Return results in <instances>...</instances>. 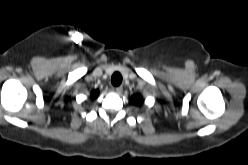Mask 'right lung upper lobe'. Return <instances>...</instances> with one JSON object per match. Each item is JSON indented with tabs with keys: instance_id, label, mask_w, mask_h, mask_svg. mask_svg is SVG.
<instances>
[{
	"instance_id": "1",
	"label": "right lung upper lobe",
	"mask_w": 248,
	"mask_h": 165,
	"mask_svg": "<svg viewBox=\"0 0 248 165\" xmlns=\"http://www.w3.org/2000/svg\"><path fill=\"white\" fill-rule=\"evenodd\" d=\"M98 93H99L98 90H94V91L92 92V97H93V98H96L97 95H98Z\"/></svg>"
}]
</instances>
